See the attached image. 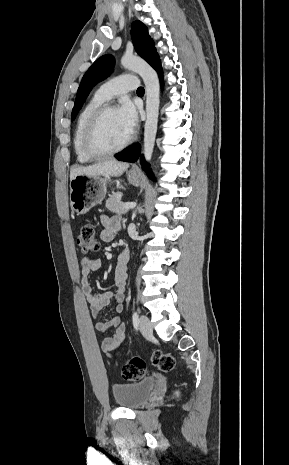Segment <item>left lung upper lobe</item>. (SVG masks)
I'll return each instance as SVG.
<instances>
[{
	"instance_id": "5c2ea615",
	"label": "left lung upper lobe",
	"mask_w": 289,
	"mask_h": 465,
	"mask_svg": "<svg viewBox=\"0 0 289 465\" xmlns=\"http://www.w3.org/2000/svg\"><path fill=\"white\" fill-rule=\"evenodd\" d=\"M131 37L137 53L161 74L162 67L153 40L147 27L141 21H134L131 26ZM114 67V57L110 54L98 58L83 76L77 91L72 110V119L82 107L91 89L109 76Z\"/></svg>"
}]
</instances>
